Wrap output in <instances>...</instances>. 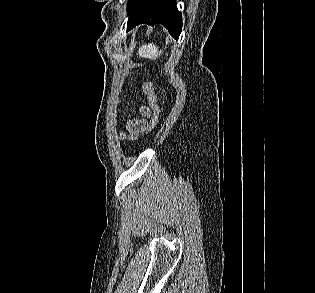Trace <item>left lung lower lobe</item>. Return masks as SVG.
<instances>
[{
	"mask_svg": "<svg viewBox=\"0 0 315 293\" xmlns=\"http://www.w3.org/2000/svg\"><path fill=\"white\" fill-rule=\"evenodd\" d=\"M127 30L138 24L164 25L172 37L178 39L182 29V17L175 0H140L128 13Z\"/></svg>",
	"mask_w": 315,
	"mask_h": 293,
	"instance_id": "obj_1",
	"label": "left lung lower lobe"
}]
</instances>
